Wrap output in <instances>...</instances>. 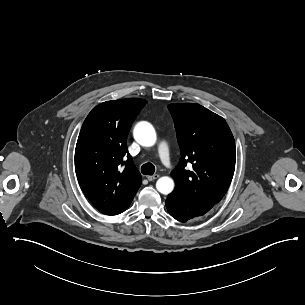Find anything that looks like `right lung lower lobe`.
<instances>
[{"label": "right lung lower lobe", "instance_id": "right-lung-lower-lobe-1", "mask_svg": "<svg viewBox=\"0 0 305 305\" xmlns=\"http://www.w3.org/2000/svg\"><path fill=\"white\" fill-rule=\"evenodd\" d=\"M130 203H131V202H130ZM130 203H128L125 207L119 209L118 211L114 212V213L111 214V215H117V214H120V213L124 212V211L129 207Z\"/></svg>", "mask_w": 305, "mask_h": 305}]
</instances>
